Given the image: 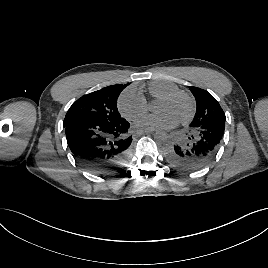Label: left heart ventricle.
I'll use <instances>...</instances> for the list:
<instances>
[{
    "mask_svg": "<svg viewBox=\"0 0 268 268\" xmlns=\"http://www.w3.org/2000/svg\"><path fill=\"white\" fill-rule=\"evenodd\" d=\"M189 110V104L183 97H177L167 102H157L154 106L155 113L170 116L175 121L182 119Z\"/></svg>",
    "mask_w": 268,
    "mask_h": 268,
    "instance_id": "1",
    "label": "left heart ventricle"
}]
</instances>
